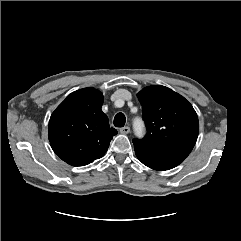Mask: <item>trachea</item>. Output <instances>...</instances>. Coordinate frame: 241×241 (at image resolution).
Instances as JSON below:
<instances>
[{
  "label": "trachea",
  "mask_w": 241,
  "mask_h": 241,
  "mask_svg": "<svg viewBox=\"0 0 241 241\" xmlns=\"http://www.w3.org/2000/svg\"><path fill=\"white\" fill-rule=\"evenodd\" d=\"M126 118L123 113H117L114 117V126L123 127L125 125Z\"/></svg>",
  "instance_id": "1"
}]
</instances>
